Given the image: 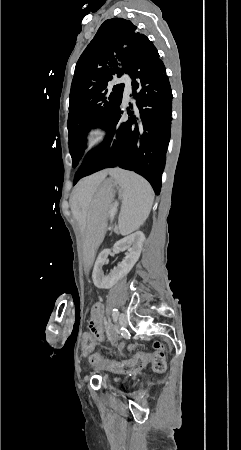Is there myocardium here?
Listing matches in <instances>:
<instances>
[{"instance_id": "f54148a6", "label": "myocardium", "mask_w": 241, "mask_h": 450, "mask_svg": "<svg viewBox=\"0 0 241 450\" xmlns=\"http://www.w3.org/2000/svg\"><path fill=\"white\" fill-rule=\"evenodd\" d=\"M86 125H91V124H86ZM89 134L90 135H93L94 137H88V139H87V137H82V142H87V140H88V142L89 143H96V142H99V137H102L103 136V131L102 130H90L89 131ZM99 136V137H98ZM92 147V146H91ZM93 147H95V146H93ZM96 148L97 149H102L103 148V145L102 144H97L96 145ZM84 155V154H83ZM85 155H87V154H85ZM92 156V155H91Z\"/></svg>"}]
</instances>
